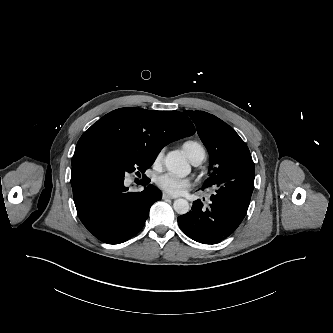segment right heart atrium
I'll use <instances>...</instances> for the list:
<instances>
[{
	"instance_id": "d8ad5b80",
	"label": "right heart atrium",
	"mask_w": 333,
	"mask_h": 333,
	"mask_svg": "<svg viewBox=\"0 0 333 333\" xmlns=\"http://www.w3.org/2000/svg\"><path fill=\"white\" fill-rule=\"evenodd\" d=\"M162 159H163V152L161 151L156 155L154 164L159 165L162 162Z\"/></svg>"
}]
</instances>
